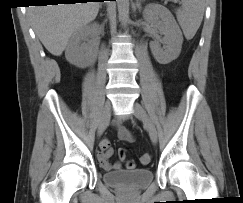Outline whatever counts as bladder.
I'll return each instance as SVG.
<instances>
[{
  "label": "bladder",
  "instance_id": "obj_1",
  "mask_svg": "<svg viewBox=\"0 0 243 203\" xmlns=\"http://www.w3.org/2000/svg\"><path fill=\"white\" fill-rule=\"evenodd\" d=\"M102 179L107 185L121 190L140 191L151 184L154 175L153 171L149 168L117 170L104 172Z\"/></svg>",
  "mask_w": 243,
  "mask_h": 203
}]
</instances>
